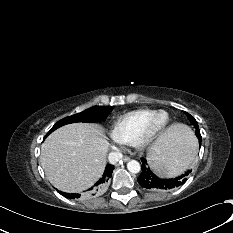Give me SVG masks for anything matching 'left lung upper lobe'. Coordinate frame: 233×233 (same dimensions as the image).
I'll return each instance as SVG.
<instances>
[{"label":"left lung upper lobe","instance_id":"left-lung-upper-lobe-1","mask_svg":"<svg viewBox=\"0 0 233 233\" xmlns=\"http://www.w3.org/2000/svg\"><path fill=\"white\" fill-rule=\"evenodd\" d=\"M185 113H186V115L188 116L190 122H191L192 124H194V127H195V129H196L195 134H196L197 138H198V139H201V134H200V131H199V126H198V124H197V121H196L195 118L192 117L189 113H187V112H185Z\"/></svg>","mask_w":233,"mask_h":233}]
</instances>
